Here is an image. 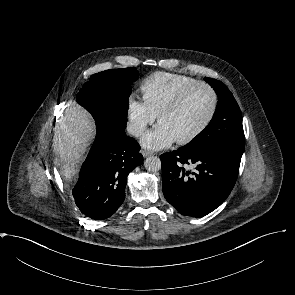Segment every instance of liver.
<instances>
[{
	"label": "liver",
	"instance_id": "liver-1",
	"mask_svg": "<svg viewBox=\"0 0 295 295\" xmlns=\"http://www.w3.org/2000/svg\"><path fill=\"white\" fill-rule=\"evenodd\" d=\"M95 135V124L89 113L81 106L69 101L64 117L56 127L54 151L65 162L62 174L66 178L75 176L77 167Z\"/></svg>",
	"mask_w": 295,
	"mask_h": 295
}]
</instances>
